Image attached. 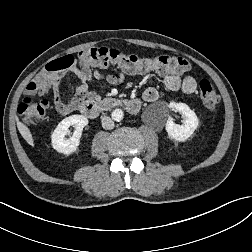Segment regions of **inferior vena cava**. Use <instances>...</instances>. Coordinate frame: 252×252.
I'll return each instance as SVG.
<instances>
[{
    "label": "inferior vena cava",
    "instance_id": "602c4592",
    "mask_svg": "<svg viewBox=\"0 0 252 252\" xmlns=\"http://www.w3.org/2000/svg\"><path fill=\"white\" fill-rule=\"evenodd\" d=\"M102 127L106 130L113 129L114 128L113 120L108 116L102 117Z\"/></svg>",
    "mask_w": 252,
    "mask_h": 252
}]
</instances>
